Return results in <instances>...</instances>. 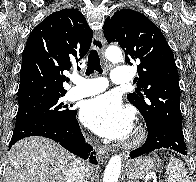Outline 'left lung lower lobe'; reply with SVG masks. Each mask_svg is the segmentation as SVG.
<instances>
[{
  "mask_svg": "<svg viewBox=\"0 0 196 182\" xmlns=\"http://www.w3.org/2000/svg\"><path fill=\"white\" fill-rule=\"evenodd\" d=\"M147 128L148 137L146 142L140 148L131 152V159L160 148L171 149L182 155H187L182 131L164 123H157L152 128Z\"/></svg>",
  "mask_w": 196,
  "mask_h": 182,
  "instance_id": "obj_1",
  "label": "left lung lower lobe"
}]
</instances>
